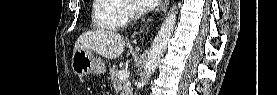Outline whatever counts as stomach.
Instances as JSON below:
<instances>
[{
  "label": "stomach",
  "mask_w": 277,
  "mask_h": 95,
  "mask_svg": "<svg viewBox=\"0 0 277 95\" xmlns=\"http://www.w3.org/2000/svg\"><path fill=\"white\" fill-rule=\"evenodd\" d=\"M71 67L77 76L101 75L106 71L105 63L97 59L92 51L80 49L73 53Z\"/></svg>",
  "instance_id": "obj_1"
}]
</instances>
